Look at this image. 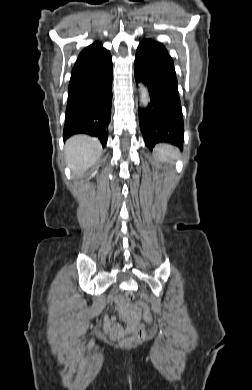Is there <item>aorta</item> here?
Wrapping results in <instances>:
<instances>
[{
    "instance_id": "1",
    "label": "aorta",
    "mask_w": 252,
    "mask_h": 390,
    "mask_svg": "<svg viewBox=\"0 0 252 390\" xmlns=\"http://www.w3.org/2000/svg\"><path fill=\"white\" fill-rule=\"evenodd\" d=\"M149 92L148 88L144 84H140V102L141 104L146 107L149 103Z\"/></svg>"
}]
</instances>
